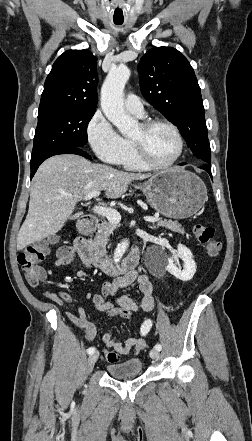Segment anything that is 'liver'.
I'll return each instance as SVG.
<instances>
[{"instance_id": "1", "label": "liver", "mask_w": 252, "mask_h": 441, "mask_svg": "<svg viewBox=\"0 0 252 441\" xmlns=\"http://www.w3.org/2000/svg\"><path fill=\"white\" fill-rule=\"evenodd\" d=\"M150 176L94 164L77 155L50 157L32 180L29 210L17 236V250L60 231L86 194L105 190L107 198L116 199L132 181Z\"/></svg>"}]
</instances>
